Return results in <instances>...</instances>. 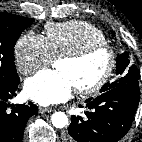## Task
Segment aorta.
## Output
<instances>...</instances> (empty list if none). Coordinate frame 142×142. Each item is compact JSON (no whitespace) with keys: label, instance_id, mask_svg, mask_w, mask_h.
I'll return each instance as SVG.
<instances>
[{"label":"aorta","instance_id":"762f6f07","mask_svg":"<svg viewBox=\"0 0 142 142\" xmlns=\"http://www.w3.org/2000/svg\"><path fill=\"white\" fill-rule=\"evenodd\" d=\"M51 122L55 128L62 129L68 124V117L64 112H55L51 117Z\"/></svg>","mask_w":142,"mask_h":142}]
</instances>
